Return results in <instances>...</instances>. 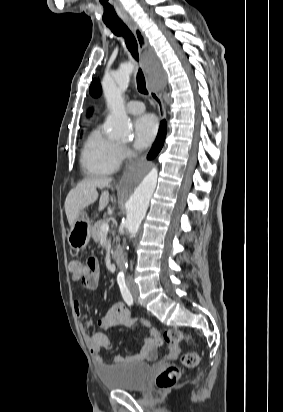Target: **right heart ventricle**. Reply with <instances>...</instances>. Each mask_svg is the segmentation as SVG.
I'll return each instance as SVG.
<instances>
[{
	"instance_id": "e07e8e85",
	"label": "right heart ventricle",
	"mask_w": 283,
	"mask_h": 412,
	"mask_svg": "<svg viewBox=\"0 0 283 412\" xmlns=\"http://www.w3.org/2000/svg\"><path fill=\"white\" fill-rule=\"evenodd\" d=\"M121 147L107 138L101 127L88 135L81 152V166L90 176L114 174L122 163Z\"/></svg>"
}]
</instances>
